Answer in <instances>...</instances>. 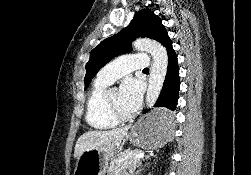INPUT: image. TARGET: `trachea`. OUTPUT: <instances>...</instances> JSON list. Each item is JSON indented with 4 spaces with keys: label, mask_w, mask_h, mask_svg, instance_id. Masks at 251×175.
Instances as JSON below:
<instances>
[{
    "label": "trachea",
    "mask_w": 251,
    "mask_h": 175,
    "mask_svg": "<svg viewBox=\"0 0 251 175\" xmlns=\"http://www.w3.org/2000/svg\"><path fill=\"white\" fill-rule=\"evenodd\" d=\"M143 71H149V68H144V70Z\"/></svg>",
    "instance_id": "trachea-1"
}]
</instances>
